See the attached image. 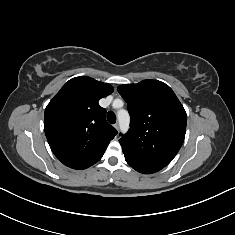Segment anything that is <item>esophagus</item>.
Here are the masks:
<instances>
[{"instance_id":"1","label":"esophagus","mask_w":235,"mask_h":235,"mask_svg":"<svg viewBox=\"0 0 235 235\" xmlns=\"http://www.w3.org/2000/svg\"><path fill=\"white\" fill-rule=\"evenodd\" d=\"M114 127H115L117 130H119V123H115V124H114Z\"/></svg>"}]
</instances>
